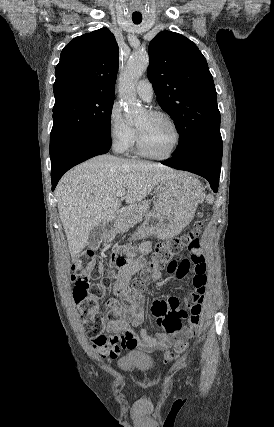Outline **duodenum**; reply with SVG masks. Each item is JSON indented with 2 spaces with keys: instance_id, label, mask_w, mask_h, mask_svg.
I'll return each instance as SVG.
<instances>
[{
  "instance_id": "duodenum-1",
  "label": "duodenum",
  "mask_w": 274,
  "mask_h": 427,
  "mask_svg": "<svg viewBox=\"0 0 274 427\" xmlns=\"http://www.w3.org/2000/svg\"><path fill=\"white\" fill-rule=\"evenodd\" d=\"M113 227H114V223L113 222H108V223H106V225H105V232L106 233H110L112 230H113Z\"/></svg>"
}]
</instances>
